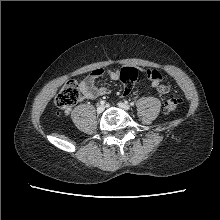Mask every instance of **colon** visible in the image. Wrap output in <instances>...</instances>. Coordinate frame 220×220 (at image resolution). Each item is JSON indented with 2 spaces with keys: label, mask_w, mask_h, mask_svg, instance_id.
Masks as SVG:
<instances>
[{
  "label": "colon",
  "mask_w": 220,
  "mask_h": 220,
  "mask_svg": "<svg viewBox=\"0 0 220 220\" xmlns=\"http://www.w3.org/2000/svg\"><path fill=\"white\" fill-rule=\"evenodd\" d=\"M139 76V71L134 67H125L120 72V80L123 83V93H130L134 84L136 83ZM147 76L151 80L162 79L161 74L154 70L148 69ZM157 90L160 94H167L170 88L167 85L159 84ZM80 92L78 83L75 80H68L60 89L56 96L55 103L56 106L64 111L70 110L79 100ZM178 100L174 97L168 98L165 102L164 111L166 113H172L177 109Z\"/></svg>",
  "instance_id": "obj_1"
}]
</instances>
